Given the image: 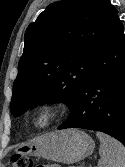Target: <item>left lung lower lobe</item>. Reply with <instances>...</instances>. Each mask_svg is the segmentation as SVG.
<instances>
[{
  "label": "left lung lower lobe",
  "mask_w": 125,
  "mask_h": 167,
  "mask_svg": "<svg viewBox=\"0 0 125 167\" xmlns=\"http://www.w3.org/2000/svg\"><path fill=\"white\" fill-rule=\"evenodd\" d=\"M70 110L58 129L104 132L125 146V35L118 16L101 41Z\"/></svg>",
  "instance_id": "0a47b994"
}]
</instances>
